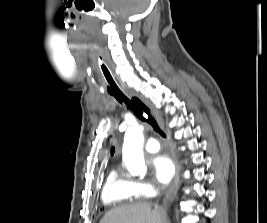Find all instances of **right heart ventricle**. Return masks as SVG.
<instances>
[{
  "label": "right heart ventricle",
  "mask_w": 267,
  "mask_h": 223,
  "mask_svg": "<svg viewBox=\"0 0 267 223\" xmlns=\"http://www.w3.org/2000/svg\"><path fill=\"white\" fill-rule=\"evenodd\" d=\"M137 195L134 181L131 178L118 168L109 172L101 194L105 204L116 206L123 202L132 201Z\"/></svg>",
  "instance_id": "e07e8e85"
}]
</instances>
